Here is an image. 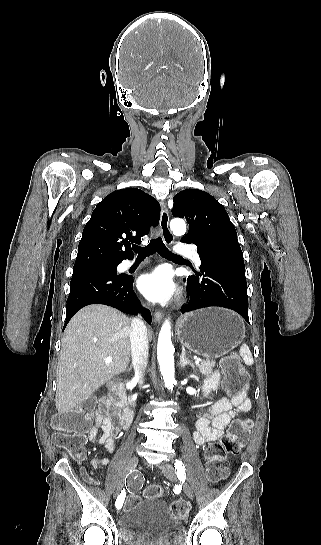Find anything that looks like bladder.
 <instances>
[{"label":"bladder","instance_id":"obj_1","mask_svg":"<svg viewBox=\"0 0 321 545\" xmlns=\"http://www.w3.org/2000/svg\"><path fill=\"white\" fill-rule=\"evenodd\" d=\"M119 535L127 545H178L184 524L160 498H147L118 516Z\"/></svg>","mask_w":321,"mask_h":545}]
</instances>
